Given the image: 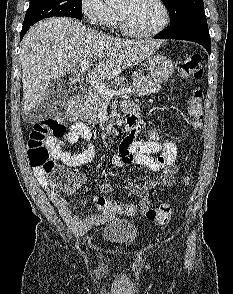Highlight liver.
<instances>
[{
  "instance_id": "liver-1",
  "label": "liver",
  "mask_w": 233,
  "mask_h": 294,
  "mask_svg": "<svg viewBox=\"0 0 233 294\" xmlns=\"http://www.w3.org/2000/svg\"><path fill=\"white\" fill-rule=\"evenodd\" d=\"M161 44L157 40L114 38L67 17L38 22L22 40L24 112L36 109L46 88L84 60L98 59L95 74L100 80H108L150 57Z\"/></svg>"
}]
</instances>
